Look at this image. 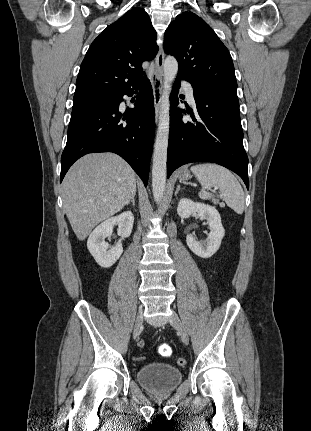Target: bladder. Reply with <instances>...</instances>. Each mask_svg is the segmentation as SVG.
<instances>
[{
    "label": "bladder",
    "mask_w": 311,
    "mask_h": 431,
    "mask_svg": "<svg viewBox=\"0 0 311 431\" xmlns=\"http://www.w3.org/2000/svg\"><path fill=\"white\" fill-rule=\"evenodd\" d=\"M138 383L154 394H166L182 382V371L167 363H149L136 372Z\"/></svg>",
    "instance_id": "31cf9c89"
}]
</instances>
